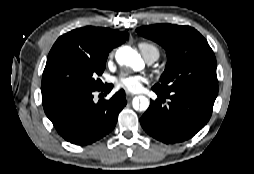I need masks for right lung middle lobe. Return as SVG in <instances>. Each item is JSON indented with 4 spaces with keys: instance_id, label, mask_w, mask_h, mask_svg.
<instances>
[{
    "instance_id": "obj_1",
    "label": "right lung middle lobe",
    "mask_w": 254,
    "mask_h": 174,
    "mask_svg": "<svg viewBox=\"0 0 254 174\" xmlns=\"http://www.w3.org/2000/svg\"><path fill=\"white\" fill-rule=\"evenodd\" d=\"M106 58L97 59L72 47L50 51L42 76V98L76 90H95Z\"/></svg>"
}]
</instances>
